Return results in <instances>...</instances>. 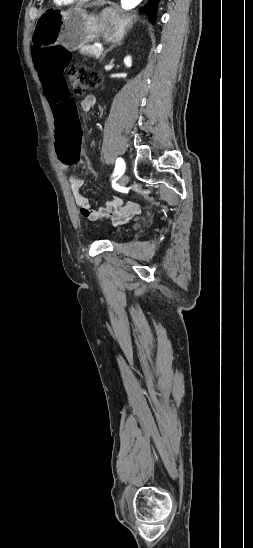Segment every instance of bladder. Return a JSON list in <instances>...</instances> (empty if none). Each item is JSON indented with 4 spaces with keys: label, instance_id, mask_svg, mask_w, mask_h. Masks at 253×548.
Listing matches in <instances>:
<instances>
[{
    "label": "bladder",
    "instance_id": "1",
    "mask_svg": "<svg viewBox=\"0 0 253 548\" xmlns=\"http://www.w3.org/2000/svg\"><path fill=\"white\" fill-rule=\"evenodd\" d=\"M124 236H125L124 234H118L117 238H123Z\"/></svg>",
    "mask_w": 253,
    "mask_h": 548
}]
</instances>
